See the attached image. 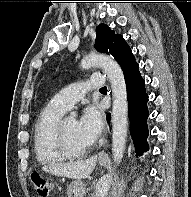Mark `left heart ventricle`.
<instances>
[{
    "label": "left heart ventricle",
    "instance_id": "b2bd125f",
    "mask_svg": "<svg viewBox=\"0 0 191 197\" xmlns=\"http://www.w3.org/2000/svg\"><path fill=\"white\" fill-rule=\"evenodd\" d=\"M65 131L69 146L73 150H81L89 144H87L79 135L77 128V121L75 119L65 120Z\"/></svg>",
    "mask_w": 191,
    "mask_h": 197
}]
</instances>
